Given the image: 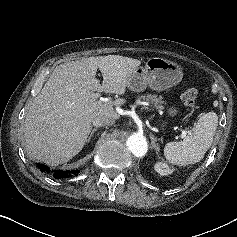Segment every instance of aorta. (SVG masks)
<instances>
[{
    "instance_id": "1",
    "label": "aorta",
    "mask_w": 237,
    "mask_h": 237,
    "mask_svg": "<svg viewBox=\"0 0 237 237\" xmlns=\"http://www.w3.org/2000/svg\"><path fill=\"white\" fill-rule=\"evenodd\" d=\"M129 150L137 157L143 156L147 152V142L144 136L133 134L127 139Z\"/></svg>"
}]
</instances>
